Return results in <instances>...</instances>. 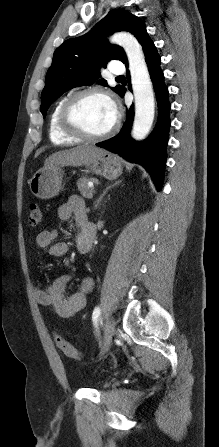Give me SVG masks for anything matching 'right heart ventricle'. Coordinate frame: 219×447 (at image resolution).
Instances as JSON below:
<instances>
[{
  "mask_svg": "<svg viewBox=\"0 0 219 447\" xmlns=\"http://www.w3.org/2000/svg\"><path fill=\"white\" fill-rule=\"evenodd\" d=\"M67 97L60 99L53 107L48 120V136L51 142L55 144H74L81 141V139L73 137L64 132L59 124V113L63 103Z\"/></svg>",
  "mask_w": 219,
  "mask_h": 447,
  "instance_id": "1",
  "label": "right heart ventricle"
}]
</instances>
